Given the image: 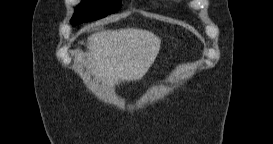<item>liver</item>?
<instances>
[{
	"instance_id": "1",
	"label": "liver",
	"mask_w": 273,
	"mask_h": 144,
	"mask_svg": "<svg viewBox=\"0 0 273 144\" xmlns=\"http://www.w3.org/2000/svg\"><path fill=\"white\" fill-rule=\"evenodd\" d=\"M160 44L161 39L147 30L102 29L87 39L86 66L108 87L137 81L154 63Z\"/></svg>"
}]
</instances>
